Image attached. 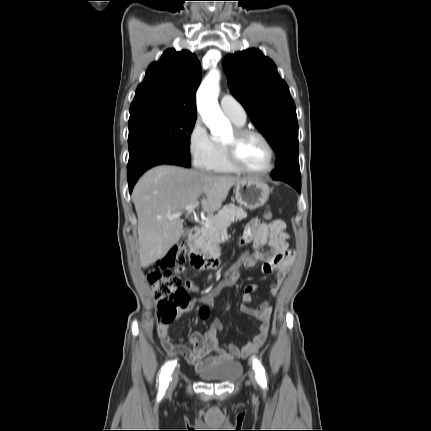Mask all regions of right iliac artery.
I'll use <instances>...</instances> for the list:
<instances>
[{
	"instance_id": "1",
	"label": "right iliac artery",
	"mask_w": 431,
	"mask_h": 431,
	"mask_svg": "<svg viewBox=\"0 0 431 431\" xmlns=\"http://www.w3.org/2000/svg\"><path fill=\"white\" fill-rule=\"evenodd\" d=\"M176 366V360L167 362L161 369L159 376V392L164 393L168 387L171 374Z\"/></svg>"
}]
</instances>
